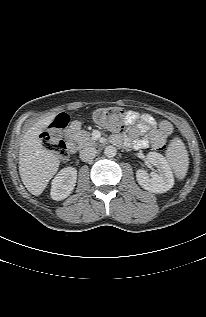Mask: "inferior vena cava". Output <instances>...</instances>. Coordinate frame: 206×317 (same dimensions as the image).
<instances>
[{
  "instance_id": "inferior-vena-cava-1",
  "label": "inferior vena cava",
  "mask_w": 206,
  "mask_h": 317,
  "mask_svg": "<svg viewBox=\"0 0 206 317\" xmlns=\"http://www.w3.org/2000/svg\"><path fill=\"white\" fill-rule=\"evenodd\" d=\"M97 150L94 147H85L80 151V159L84 162L91 161L95 158Z\"/></svg>"
}]
</instances>
